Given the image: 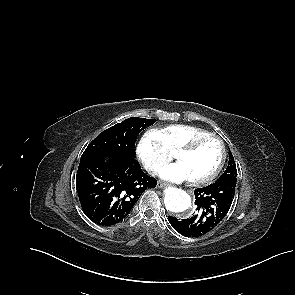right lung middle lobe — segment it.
Wrapping results in <instances>:
<instances>
[{"mask_svg":"<svg viewBox=\"0 0 295 295\" xmlns=\"http://www.w3.org/2000/svg\"><path fill=\"white\" fill-rule=\"evenodd\" d=\"M155 121V119L132 117L106 129L87 146L80 162L117 154H129L134 157L138 134Z\"/></svg>","mask_w":295,"mask_h":295,"instance_id":"dd1d6c3e","label":"right lung middle lobe"}]
</instances>
